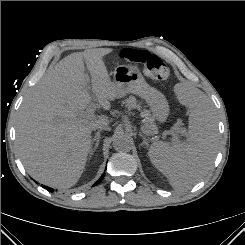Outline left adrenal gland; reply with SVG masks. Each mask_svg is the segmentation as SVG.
I'll list each match as a JSON object with an SVG mask.
<instances>
[{
    "label": "left adrenal gland",
    "mask_w": 245,
    "mask_h": 245,
    "mask_svg": "<svg viewBox=\"0 0 245 245\" xmlns=\"http://www.w3.org/2000/svg\"><path fill=\"white\" fill-rule=\"evenodd\" d=\"M139 136H141L143 139L141 146H145V148H148V140L146 139V137L142 133H139Z\"/></svg>",
    "instance_id": "left-adrenal-gland-1"
}]
</instances>
